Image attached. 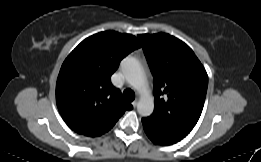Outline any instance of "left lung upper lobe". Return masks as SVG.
I'll list each match as a JSON object with an SVG mask.
<instances>
[{
  "label": "left lung upper lobe",
  "instance_id": "left-lung-upper-lobe-1",
  "mask_svg": "<svg viewBox=\"0 0 261 162\" xmlns=\"http://www.w3.org/2000/svg\"><path fill=\"white\" fill-rule=\"evenodd\" d=\"M154 78V112L145 118L186 137L198 122L208 76L193 50L166 33L138 35Z\"/></svg>",
  "mask_w": 261,
  "mask_h": 162
}]
</instances>
